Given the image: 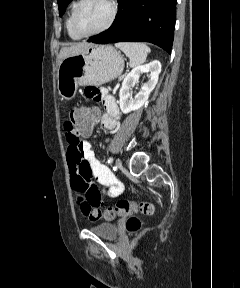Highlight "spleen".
<instances>
[{"instance_id":"spleen-1","label":"spleen","mask_w":240,"mask_h":288,"mask_svg":"<svg viewBox=\"0 0 240 288\" xmlns=\"http://www.w3.org/2000/svg\"><path fill=\"white\" fill-rule=\"evenodd\" d=\"M115 46L121 49L130 60V67H137L146 61L150 48L140 42H120Z\"/></svg>"}]
</instances>
